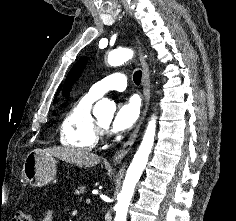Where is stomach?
Segmentation results:
<instances>
[{
    "mask_svg": "<svg viewBox=\"0 0 236 221\" xmlns=\"http://www.w3.org/2000/svg\"><path fill=\"white\" fill-rule=\"evenodd\" d=\"M22 174L30 185L45 186L55 178L56 160L44 150H33L24 160Z\"/></svg>",
    "mask_w": 236,
    "mask_h": 221,
    "instance_id": "0dacf381",
    "label": "stomach"
}]
</instances>
